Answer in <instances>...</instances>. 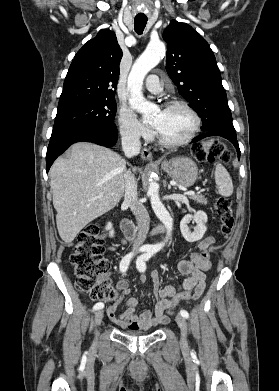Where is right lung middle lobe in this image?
<instances>
[{
    "label": "right lung middle lobe",
    "mask_w": 279,
    "mask_h": 391,
    "mask_svg": "<svg viewBox=\"0 0 279 391\" xmlns=\"http://www.w3.org/2000/svg\"><path fill=\"white\" fill-rule=\"evenodd\" d=\"M115 100H94L58 109L52 135L114 123Z\"/></svg>",
    "instance_id": "dd1d6c3e"
}]
</instances>
